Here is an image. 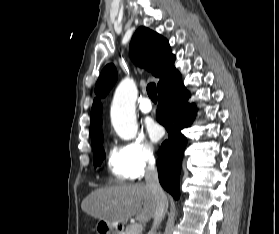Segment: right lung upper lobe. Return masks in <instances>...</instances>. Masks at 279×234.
<instances>
[{"label": "right lung upper lobe", "mask_w": 279, "mask_h": 234, "mask_svg": "<svg viewBox=\"0 0 279 234\" xmlns=\"http://www.w3.org/2000/svg\"><path fill=\"white\" fill-rule=\"evenodd\" d=\"M130 58L138 66L145 67L160 78L158 90L165 86L179 72L174 67L175 55L171 53L168 41L158 33L139 27L130 43ZM117 80V71L113 64L107 65L101 72L95 86V93L102 98L113 87ZM102 104L94 99L91 109L90 136L94 144L103 137L102 134Z\"/></svg>", "instance_id": "1"}]
</instances>
